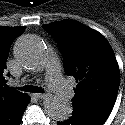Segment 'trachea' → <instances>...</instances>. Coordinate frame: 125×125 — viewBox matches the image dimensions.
Returning a JSON list of instances; mask_svg holds the SVG:
<instances>
[{"instance_id": "obj_1", "label": "trachea", "mask_w": 125, "mask_h": 125, "mask_svg": "<svg viewBox=\"0 0 125 125\" xmlns=\"http://www.w3.org/2000/svg\"><path fill=\"white\" fill-rule=\"evenodd\" d=\"M19 90L24 92H32V93H43V89L41 87L32 86V85H25L20 87Z\"/></svg>"}]
</instances>
